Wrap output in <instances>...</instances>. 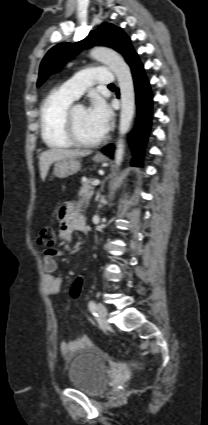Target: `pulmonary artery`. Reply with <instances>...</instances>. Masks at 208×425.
Instances as JSON below:
<instances>
[{"label": "pulmonary artery", "instance_id": "1", "mask_svg": "<svg viewBox=\"0 0 208 425\" xmlns=\"http://www.w3.org/2000/svg\"><path fill=\"white\" fill-rule=\"evenodd\" d=\"M113 73L106 67H90L81 70L61 86V91L73 99H78L92 85L113 83Z\"/></svg>", "mask_w": 208, "mask_h": 425}]
</instances>
